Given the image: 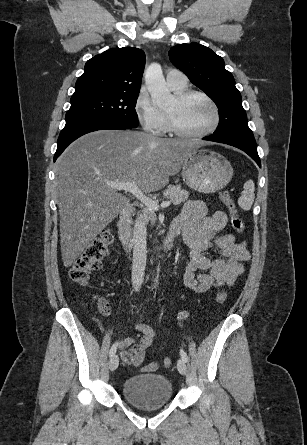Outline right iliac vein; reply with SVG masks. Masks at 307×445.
Masks as SVG:
<instances>
[{
  "label": "right iliac vein",
  "instance_id": "63e3f726",
  "mask_svg": "<svg viewBox=\"0 0 307 445\" xmlns=\"http://www.w3.org/2000/svg\"><path fill=\"white\" fill-rule=\"evenodd\" d=\"M118 365H119V358H118L117 355H113V356L111 357V359H110V362H109V368H110V370H111V371L116 370L117 367H118Z\"/></svg>",
  "mask_w": 307,
  "mask_h": 445
}]
</instances>
